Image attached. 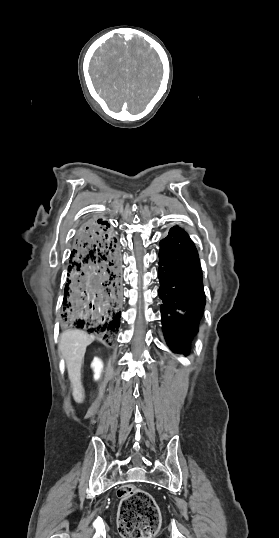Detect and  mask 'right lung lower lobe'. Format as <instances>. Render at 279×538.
<instances>
[{"label":"right lung lower lobe","instance_id":"1","mask_svg":"<svg viewBox=\"0 0 279 538\" xmlns=\"http://www.w3.org/2000/svg\"><path fill=\"white\" fill-rule=\"evenodd\" d=\"M71 246L61 325L89 334L114 332L120 326L122 297L117 237L107 221L90 217Z\"/></svg>","mask_w":279,"mask_h":538}]
</instances>
